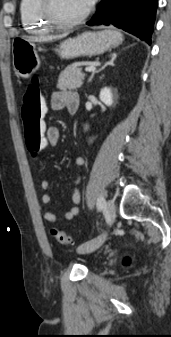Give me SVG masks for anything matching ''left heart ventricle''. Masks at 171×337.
Returning a JSON list of instances; mask_svg holds the SVG:
<instances>
[{"label": "left heart ventricle", "instance_id": "obj_1", "mask_svg": "<svg viewBox=\"0 0 171 337\" xmlns=\"http://www.w3.org/2000/svg\"><path fill=\"white\" fill-rule=\"evenodd\" d=\"M87 8L84 0H54L55 12L62 19L75 18Z\"/></svg>", "mask_w": 171, "mask_h": 337}]
</instances>
